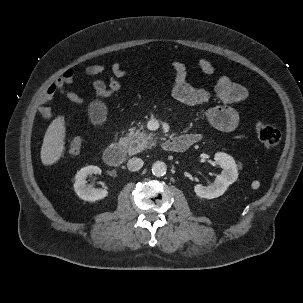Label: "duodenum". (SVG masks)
I'll list each match as a JSON object with an SVG mask.
<instances>
[{"instance_id": "1", "label": "duodenum", "mask_w": 303, "mask_h": 303, "mask_svg": "<svg viewBox=\"0 0 303 303\" xmlns=\"http://www.w3.org/2000/svg\"><path fill=\"white\" fill-rule=\"evenodd\" d=\"M193 140L187 136H177L165 140L162 148L167 152L180 153L188 149ZM125 147L119 142L109 145L104 152V160L109 166H119L125 158Z\"/></svg>"}]
</instances>
